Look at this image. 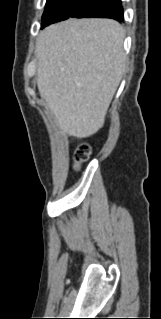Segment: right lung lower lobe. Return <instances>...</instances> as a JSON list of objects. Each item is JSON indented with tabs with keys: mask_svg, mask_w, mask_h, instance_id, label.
Returning a JSON list of instances; mask_svg holds the SVG:
<instances>
[{
	"mask_svg": "<svg viewBox=\"0 0 161 319\" xmlns=\"http://www.w3.org/2000/svg\"><path fill=\"white\" fill-rule=\"evenodd\" d=\"M112 18L119 22L124 21L121 0H99L96 6L82 15V18Z\"/></svg>",
	"mask_w": 161,
	"mask_h": 319,
	"instance_id": "98d812e1",
	"label": "right lung lower lobe"
}]
</instances>
